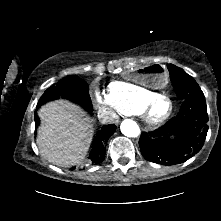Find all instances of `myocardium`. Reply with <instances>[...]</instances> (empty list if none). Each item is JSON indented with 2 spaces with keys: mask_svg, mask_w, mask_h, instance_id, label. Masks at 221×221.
Instances as JSON below:
<instances>
[{
  "mask_svg": "<svg viewBox=\"0 0 221 221\" xmlns=\"http://www.w3.org/2000/svg\"><path fill=\"white\" fill-rule=\"evenodd\" d=\"M160 100H167L170 104V109L165 115L156 117L152 114V110L156 105V103L159 102ZM173 112H174V102L166 94H156L151 99L146 101L140 109V113H142L144 119L150 124H159L166 121L168 118H170Z\"/></svg>",
  "mask_w": 221,
  "mask_h": 221,
  "instance_id": "obj_1",
  "label": "myocardium"
}]
</instances>
